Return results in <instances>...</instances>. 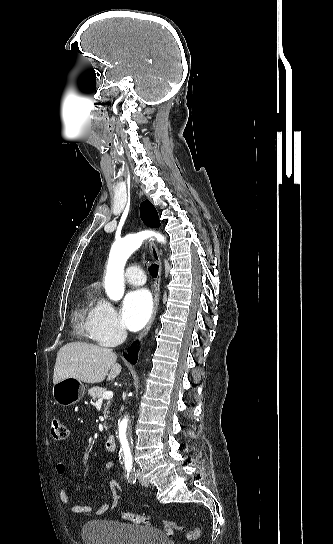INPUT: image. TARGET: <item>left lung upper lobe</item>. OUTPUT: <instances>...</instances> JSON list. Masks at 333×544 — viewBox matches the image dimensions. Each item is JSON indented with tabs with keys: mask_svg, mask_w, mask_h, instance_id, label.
<instances>
[{
	"mask_svg": "<svg viewBox=\"0 0 333 544\" xmlns=\"http://www.w3.org/2000/svg\"><path fill=\"white\" fill-rule=\"evenodd\" d=\"M140 215L143 222L151 227H159V217L154 206L148 201H144L140 205Z\"/></svg>",
	"mask_w": 333,
	"mask_h": 544,
	"instance_id": "obj_1",
	"label": "left lung upper lobe"
}]
</instances>
